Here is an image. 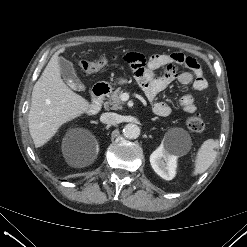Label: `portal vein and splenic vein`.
Segmentation results:
<instances>
[{
  "mask_svg": "<svg viewBox=\"0 0 247 247\" xmlns=\"http://www.w3.org/2000/svg\"><path fill=\"white\" fill-rule=\"evenodd\" d=\"M129 99V95L127 93H124L121 95V100L126 102Z\"/></svg>",
  "mask_w": 247,
  "mask_h": 247,
  "instance_id": "18ae733b",
  "label": "portal vein and splenic vein"
}]
</instances>
